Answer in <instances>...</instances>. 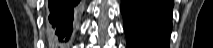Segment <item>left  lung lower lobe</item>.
<instances>
[{
	"label": "left lung lower lobe",
	"mask_w": 213,
	"mask_h": 48,
	"mask_svg": "<svg viewBox=\"0 0 213 48\" xmlns=\"http://www.w3.org/2000/svg\"><path fill=\"white\" fill-rule=\"evenodd\" d=\"M173 0H121L128 48H169Z\"/></svg>",
	"instance_id": "1"
}]
</instances>
